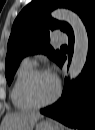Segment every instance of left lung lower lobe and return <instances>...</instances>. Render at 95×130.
<instances>
[{
	"mask_svg": "<svg viewBox=\"0 0 95 130\" xmlns=\"http://www.w3.org/2000/svg\"><path fill=\"white\" fill-rule=\"evenodd\" d=\"M88 33L89 52L79 77L67 83L62 97L40 112L71 128H91L95 121V12L84 21ZM74 35L69 36L68 58L71 60ZM66 57L61 54L56 62L62 67Z\"/></svg>",
	"mask_w": 95,
	"mask_h": 130,
	"instance_id": "obj_1",
	"label": "left lung lower lobe"
}]
</instances>
